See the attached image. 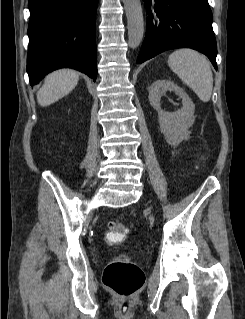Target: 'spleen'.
<instances>
[{
    "label": "spleen",
    "instance_id": "1",
    "mask_svg": "<svg viewBox=\"0 0 245 319\" xmlns=\"http://www.w3.org/2000/svg\"><path fill=\"white\" fill-rule=\"evenodd\" d=\"M170 68L203 101L212 95L213 75L208 59L193 49L174 51L168 58Z\"/></svg>",
    "mask_w": 245,
    "mask_h": 319
}]
</instances>
